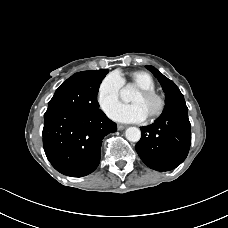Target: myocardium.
<instances>
[{"label":"myocardium","mask_w":228,"mask_h":228,"mask_svg":"<svg viewBox=\"0 0 228 228\" xmlns=\"http://www.w3.org/2000/svg\"><path fill=\"white\" fill-rule=\"evenodd\" d=\"M138 92L145 98L147 99H154L157 101L158 103V106H157V109L148 116V118L150 120H154L158 117H160L165 108H166V99L165 97L160 94L159 92H157L156 90H151V89H139Z\"/></svg>","instance_id":"1"}]
</instances>
